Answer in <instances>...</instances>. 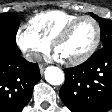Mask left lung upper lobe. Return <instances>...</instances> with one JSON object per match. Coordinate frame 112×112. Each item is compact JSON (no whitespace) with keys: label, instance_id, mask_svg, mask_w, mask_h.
<instances>
[{"label":"left lung upper lobe","instance_id":"5c2ea615","mask_svg":"<svg viewBox=\"0 0 112 112\" xmlns=\"http://www.w3.org/2000/svg\"><path fill=\"white\" fill-rule=\"evenodd\" d=\"M91 16L97 20L101 28V42L104 46L112 45V20L101 18L93 13Z\"/></svg>","mask_w":112,"mask_h":112}]
</instances>
